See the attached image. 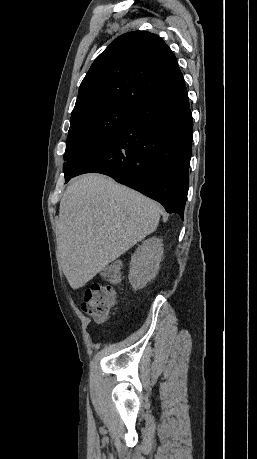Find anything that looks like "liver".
Segmentation results:
<instances>
[{
    "mask_svg": "<svg viewBox=\"0 0 257 459\" xmlns=\"http://www.w3.org/2000/svg\"><path fill=\"white\" fill-rule=\"evenodd\" d=\"M160 207L100 174H87L66 189L59 209L60 265L79 289L110 262L153 233Z\"/></svg>",
    "mask_w": 257,
    "mask_h": 459,
    "instance_id": "obj_1",
    "label": "liver"
}]
</instances>
